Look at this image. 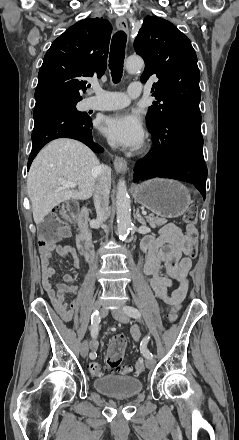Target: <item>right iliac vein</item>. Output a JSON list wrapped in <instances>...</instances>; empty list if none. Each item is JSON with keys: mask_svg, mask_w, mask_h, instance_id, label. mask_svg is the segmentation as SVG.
<instances>
[{"mask_svg": "<svg viewBox=\"0 0 239 440\" xmlns=\"http://www.w3.org/2000/svg\"><path fill=\"white\" fill-rule=\"evenodd\" d=\"M98 306V304H96V307ZM108 314V310L107 308L103 307L100 310V316L101 317H105ZM80 353L82 357H86L88 355V342L87 340H84L83 343L81 344V348H80Z\"/></svg>", "mask_w": 239, "mask_h": 440, "instance_id": "63e3f726", "label": "right iliac vein"}]
</instances>
